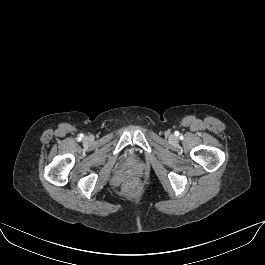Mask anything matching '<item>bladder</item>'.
<instances>
[{
    "label": "bladder",
    "mask_w": 265,
    "mask_h": 265,
    "mask_svg": "<svg viewBox=\"0 0 265 265\" xmlns=\"http://www.w3.org/2000/svg\"><path fill=\"white\" fill-rule=\"evenodd\" d=\"M126 159H127L128 161H133V160L135 159V153H133V152H128V153H127V156H126Z\"/></svg>",
    "instance_id": "1"
}]
</instances>
